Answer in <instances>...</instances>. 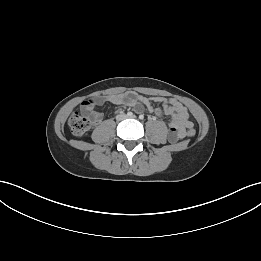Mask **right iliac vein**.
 I'll return each mask as SVG.
<instances>
[{
	"label": "right iliac vein",
	"mask_w": 261,
	"mask_h": 261,
	"mask_svg": "<svg viewBox=\"0 0 261 261\" xmlns=\"http://www.w3.org/2000/svg\"><path fill=\"white\" fill-rule=\"evenodd\" d=\"M125 116L124 115H120L119 116V119H123Z\"/></svg>",
	"instance_id": "63e3f726"
}]
</instances>
